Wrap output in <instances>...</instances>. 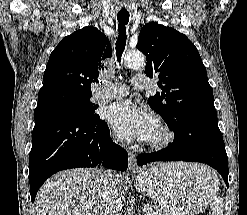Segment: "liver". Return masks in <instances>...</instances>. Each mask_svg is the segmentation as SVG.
<instances>
[{"instance_id": "6515ba94", "label": "liver", "mask_w": 247, "mask_h": 215, "mask_svg": "<svg viewBox=\"0 0 247 215\" xmlns=\"http://www.w3.org/2000/svg\"><path fill=\"white\" fill-rule=\"evenodd\" d=\"M103 173L77 168L55 174L36 196V215H104L109 189L102 180Z\"/></svg>"}]
</instances>
